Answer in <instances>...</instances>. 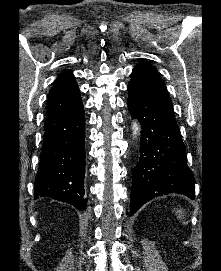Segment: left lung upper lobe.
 <instances>
[{
  "label": "left lung upper lobe",
  "mask_w": 221,
  "mask_h": 271,
  "mask_svg": "<svg viewBox=\"0 0 221 271\" xmlns=\"http://www.w3.org/2000/svg\"><path fill=\"white\" fill-rule=\"evenodd\" d=\"M130 82L139 85L151 97L173 109L167 95V89L161 81L159 73L149 63L141 62L137 64L132 71V79Z\"/></svg>",
  "instance_id": "left-lung-upper-lobe-1"
}]
</instances>
